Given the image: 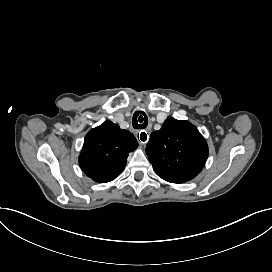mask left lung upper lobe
<instances>
[{"label": "left lung upper lobe", "mask_w": 272, "mask_h": 272, "mask_svg": "<svg viewBox=\"0 0 272 272\" xmlns=\"http://www.w3.org/2000/svg\"><path fill=\"white\" fill-rule=\"evenodd\" d=\"M146 153L159 177L179 184L200 173L208 158V145L193 124L169 117L151 134Z\"/></svg>", "instance_id": "obj_1"}]
</instances>
